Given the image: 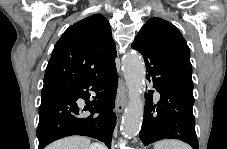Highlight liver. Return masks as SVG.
Returning <instances> with one entry per match:
<instances>
[{
	"mask_svg": "<svg viewBox=\"0 0 227 149\" xmlns=\"http://www.w3.org/2000/svg\"><path fill=\"white\" fill-rule=\"evenodd\" d=\"M90 140L81 136H70L53 142L46 149H88ZM105 149V146H102Z\"/></svg>",
	"mask_w": 227,
	"mask_h": 149,
	"instance_id": "6515ba94",
	"label": "liver"
}]
</instances>
